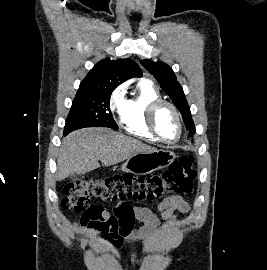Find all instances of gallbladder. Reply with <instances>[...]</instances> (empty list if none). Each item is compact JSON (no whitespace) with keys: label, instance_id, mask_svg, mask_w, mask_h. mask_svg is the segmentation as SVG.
Listing matches in <instances>:
<instances>
[{"label":"gallbladder","instance_id":"gallbladder-1","mask_svg":"<svg viewBox=\"0 0 267 270\" xmlns=\"http://www.w3.org/2000/svg\"><path fill=\"white\" fill-rule=\"evenodd\" d=\"M70 178L73 179V180H75L76 179V175L72 174V175H70Z\"/></svg>","mask_w":267,"mask_h":270}]
</instances>
